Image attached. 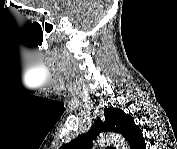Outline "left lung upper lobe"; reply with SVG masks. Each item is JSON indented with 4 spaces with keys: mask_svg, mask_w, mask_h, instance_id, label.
<instances>
[{
    "mask_svg": "<svg viewBox=\"0 0 177 149\" xmlns=\"http://www.w3.org/2000/svg\"><path fill=\"white\" fill-rule=\"evenodd\" d=\"M104 115V123L101 119L96 120L87 134L79 135L61 148L90 149L92 147V139L103 131L119 133L126 138L132 149L140 148L144 138L142 131L135 124L133 117L117 108L106 109Z\"/></svg>",
    "mask_w": 177,
    "mask_h": 149,
    "instance_id": "1",
    "label": "left lung upper lobe"
}]
</instances>
